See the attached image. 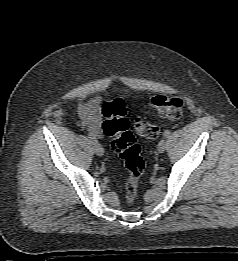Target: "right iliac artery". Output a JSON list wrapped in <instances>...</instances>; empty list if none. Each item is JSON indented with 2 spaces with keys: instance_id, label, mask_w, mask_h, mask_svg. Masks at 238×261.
I'll return each instance as SVG.
<instances>
[{
  "instance_id": "obj_1",
  "label": "right iliac artery",
  "mask_w": 238,
  "mask_h": 261,
  "mask_svg": "<svg viewBox=\"0 0 238 261\" xmlns=\"http://www.w3.org/2000/svg\"><path fill=\"white\" fill-rule=\"evenodd\" d=\"M88 138L92 143H97L95 136L92 133H88Z\"/></svg>"
}]
</instances>
